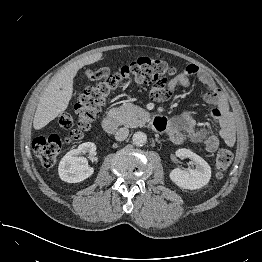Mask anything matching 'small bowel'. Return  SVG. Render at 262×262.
Masks as SVG:
<instances>
[{
  "label": "small bowel",
  "instance_id": "1",
  "mask_svg": "<svg viewBox=\"0 0 262 262\" xmlns=\"http://www.w3.org/2000/svg\"><path fill=\"white\" fill-rule=\"evenodd\" d=\"M193 76H196L207 85L208 91L204 95V99L207 103L214 106L211 116L219 121L221 125L220 136L223 142L227 146H233L235 143V132L228 100L215 82L198 66L191 64L179 71L169 80L165 96L158 100H167L179 86L188 87ZM162 121L160 128L164 130L170 142L180 145L186 140H190L204 145L210 153H214L217 150L219 145L217 137L209 134L206 129L197 127L191 110L175 116L168 123L163 119Z\"/></svg>",
  "mask_w": 262,
  "mask_h": 262
}]
</instances>
